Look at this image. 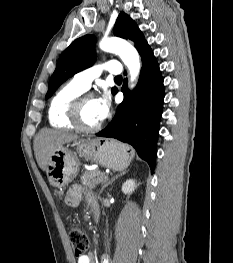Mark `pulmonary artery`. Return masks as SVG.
<instances>
[{
    "instance_id": "pulmonary-artery-1",
    "label": "pulmonary artery",
    "mask_w": 233,
    "mask_h": 263,
    "mask_svg": "<svg viewBox=\"0 0 233 263\" xmlns=\"http://www.w3.org/2000/svg\"><path fill=\"white\" fill-rule=\"evenodd\" d=\"M103 70L117 76L120 75L122 71L120 63L117 60H109L102 65H95L78 72L74 76L73 81L84 90H87L89 89L92 81L99 77Z\"/></svg>"
}]
</instances>
